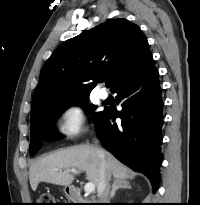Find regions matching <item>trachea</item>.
Listing matches in <instances>:
<instances>
[{"label": "trachea", "mask_w": 200, "mask_h": 205, "mask_svg": "<svg viewBox=\"0 0 200 205\" xmlns=\"http://www.w3.org/2000/svg\"><path fill=\"white\" fill-rule=\"evenodd\" d=\"M106 80H107L106 78L103 79V81H106Z\"/></svg>", "instance_id": "obj_1"}]
</instances>
